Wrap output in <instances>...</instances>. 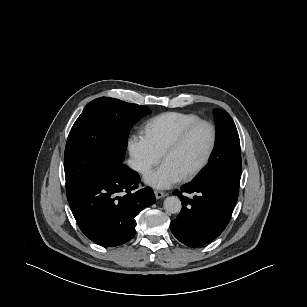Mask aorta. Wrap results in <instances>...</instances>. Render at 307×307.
I'll return each instance as SVG.
<instances>
[{
    "label": "aorta",
    "mask_w": 307,
    "mask_h": 307,
    "mask_svg": "<svg viewBox=\"0 0 307 307\" xmlns=\"http://www.w3.org/2000/svg\"><path fill=\"white\" fill-rule=\"evenodd\" d=\"M181 201L176 196H169L164 200V209L171 214H176L181 211Z\"/></svg>",
    "instance_id": "aorta-1"
}]
</instances>
